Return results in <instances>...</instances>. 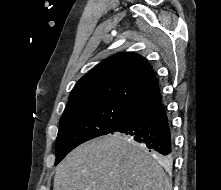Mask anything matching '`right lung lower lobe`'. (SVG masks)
I'll return each mask as SVG.
<instances>
[{"label":"right lung lower lobe","mask_w":221,"mask_h":190,"mask_svg":"<svg viewBox=\"0 0 221 190\" xmlns=\"http://www.w3.org/2000/svg\"><path fill=\"white\" fill-rule=\"evenodd\" d=\"M114 132L132 136L164 161L173 158L172 124L161 92L136 106Z\"/></svg>","instance_id":"98d812e1"}]
</instances>
